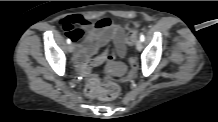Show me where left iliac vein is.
Segmentation results:
<instances>
[{"label":"left iliac vein","mask_w":218,"mask_h":122,"mask_svg":"<svg viewBox=\"0 0 218 122\" xmlns=\"http://www.w3.org/2000/svg\"><path fill=\"white\" fill-rule=\"evenodd\" d=\"M136 48L138 51H141L142 48H143V45H142V41L141 40H137L136 42Z\"/></svg>","instance_id":"4c4485c4"}]
</instances>
